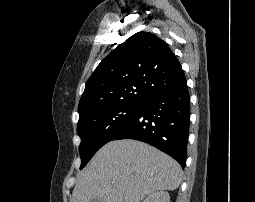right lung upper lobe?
<instances>
[{
    "label": "right lung upper lobe",
    "instance_id": "1",
    "mask_svg": "<svg viewBox=\"0 0 255 202\" xmlns=\"http://www.w3.org/2000/svg\"><path fill=\"white\" fill-rule=\"evenodd\" d=\"M185 82L169 46L152 33L138 32L103 59L88 79L78 106L79 118L109 106L142 104Z\"/></svg>",
    "mask_w": 255,
    "mask_h": 202
}]
</instances>
